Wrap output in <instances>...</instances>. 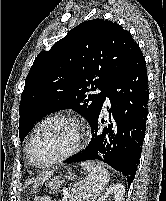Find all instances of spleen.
Listing matches in <instances>:
<instances>
[{
    "label": "spleen",
    "instance_id": "spleen-1",
    "mask_svg": "<svg viewBox=\"0 0 166 201\" xmlns=\"http://www.w3.org/2000/svg\"><path fill=\"white\" fill-rule=\"evenodd\" d=\"M81 167L88 172V176L74 185L72 192L75 196L69 201H95L109 183L108 171L101 164L91 161L82 162ZM45 199L50 201L48 197Z\"/></svg>",
    "mask_w": 166,
    "mask_h": 201
}]
</instances>
